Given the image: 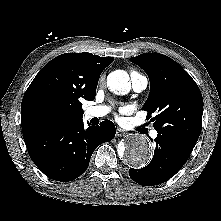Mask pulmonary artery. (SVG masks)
<instances>
[{"mask_svg":"<svg viewBox=\"0 0 221 221\" xmlns=\"http://www.w3.org/2000/svg\"><path fill=\"white\" fill-rule=\"evenodd\" d=\"M131 83L133 90L139 93L146 89L148 85V78L138 72H132ZM108 112L109 108L107 106H92L86 110L85 114L87 118H99L105 116ZM151 136L153 138L157 137V131H152Z\"/></svg>","mask_w":221,"mask_h":221,"instance_id":"pulmonary-artery-1","label":"pulmonary artery"}]
</instances>
